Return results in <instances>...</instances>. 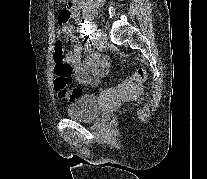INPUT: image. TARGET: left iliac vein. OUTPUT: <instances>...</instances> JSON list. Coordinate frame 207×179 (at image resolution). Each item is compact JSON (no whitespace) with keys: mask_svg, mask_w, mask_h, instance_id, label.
Wrapping results in <instances>:
<instances>
[{"mask_svg":"<svg viewBox=\"0 0 207 179\" xmlns=\"http://www.w3.org/2000/svg\"><path fill=\"white\" fill-rule=\"evenodd\" d=\"M106 42L107 34L102 29H98L96 35V43L101 46L104 45Z\"/></svg>","mask_w":207,"mask_h":179,"instance_id":"1","label":"left iliac vein"}]
</instances>
